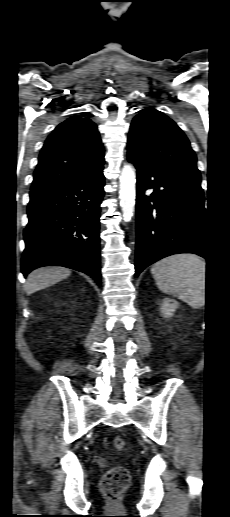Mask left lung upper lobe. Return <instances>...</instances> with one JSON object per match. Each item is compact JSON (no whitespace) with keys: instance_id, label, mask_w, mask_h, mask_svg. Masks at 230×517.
<instances>
[{"instance_id":"1","label":"left lung upper lobe","mask_w":230,"mask_h":517,"mask_svg":"<svg viewBox=\"0 0 230 517\" xmlns=\"http://www.w3.org/2000/svg\"><path fill=\"white\" fill-rule=\"evenodd\" d=\"M128 155L155 167L201 178L190 142L162 112L146 108L134 117L128 138Z\"/></svg>"}]
</instances>
